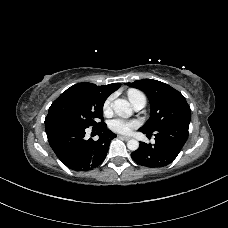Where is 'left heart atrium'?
Here are the masks:
<instances>
[{
	"label": "left heart atrium",
	"instance_id": "1",
	"mask_svg": "<svg viewBox=\"0 0 228 228\" xmlns=\"http://www.w3.org/2000/svg\"><path fill=\"white\" fill-rule=\"evenodd\" d=\"M137 121L134 120H127L124 118H115L110 121L109 126L110 128L119 133H127L132 128L137 126Z\"/></svg>",
	"mask_w": 228,
	"mask_h": 228
}]
</instances>
